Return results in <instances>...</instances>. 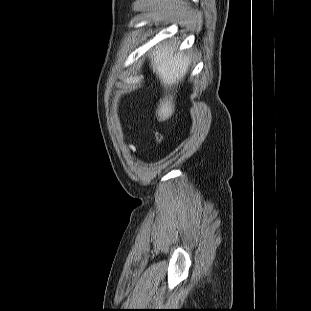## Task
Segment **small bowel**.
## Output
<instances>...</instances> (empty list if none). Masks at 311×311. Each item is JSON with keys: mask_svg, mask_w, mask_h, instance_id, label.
Instances as JSON below:
<instances>
[{"mask_svg": "<svg viewBox=\"0 0 311 311\" xmlns=\"http://www.w3.org/2000/svg\"><path fill=\"white\" fill-rule=\"evenodd\" d=\"M129 148H130L132 151H135L134 146H129Z\"/></svg>", "mask_w": 311, "mask_h": 311, "instance_id": "c3829d8e", "label": "small bowel"}]
</instances>
